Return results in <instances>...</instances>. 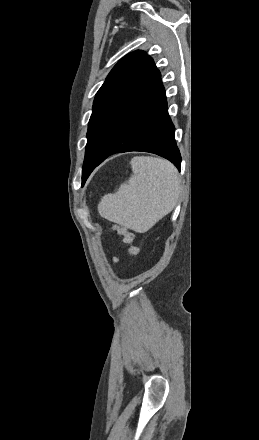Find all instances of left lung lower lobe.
Segmentation results:
<instances>
[{"label": "left lung lower lobe", "mask_w": 259, "mask_h": 440, "mask_svg": "<svg viewBox=\"0 0 259 440\" xmlns=\"http://www.w3.org/2000/svg\"><path fill=\"white\" fill-rule=\"evenodd\" d=\"M174 133L161 75L156 70L147 88L117 126L94 167L115 153L144 151L168 159L180 170L181 156Z\"/></svg>", "instance_id": "1"}]
</instances>
